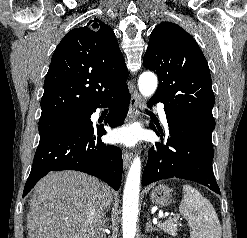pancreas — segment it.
Listing matches in <instances>:
<instances>
[{
  "mask_svg": "<svg viewBox=\"0 0 247 238\" xmlns=\"http://www.w3.org/2000/svg\"><path fill=\"white\" fill-rule=\"evenodd\" d=\"M175 220H167L165 222H161L158 224V228L165 233L171 235V236H176L177 235V226L175 224Z\"/></svg>",
  "mask_w": 247,
  "mask_h": 238,
  "instance_id": "pancreas-1",
  "label": "pancreas"
}]
</instances>
